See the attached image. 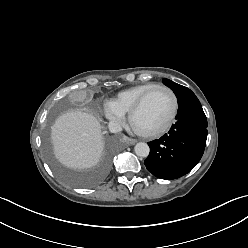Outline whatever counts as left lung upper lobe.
Masks as SVG:
<instances>
[{
    "mask_svg": "<svg viewBox=\"0 0 248 248\" xmlns=\"http://www.w3.org/2000/svg\"><path fill=\"white\" fill-rule=\"evenodd\" d=\"M162 82L166 86H168L170 89L173 90V92L175 93L178 101L184 100L192 92L187 87H184L182 85H179V84H177V83H175V82H173L171 80H168L166 78H164Z\"/></svg>",
    "mask_w": 248,
    "mask_h": 248,
    "instance_id": "5c2ea615",
    "label": "left lung upper lobe"
}]
</instances>
